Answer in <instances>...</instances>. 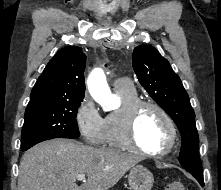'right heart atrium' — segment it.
Returning a JSON list of instances; mask_svg holds the SVG:
<instances>
[{
  "mask_svg": "<svg viewBox=\"0 0 221 190\" xmlns=\"http://www.w3.org/2000/svg\"><path fill=\"white\" fill-rule=\"evenodd\" d=\"M75 123L86 143L101 146L105 142V120L94 102L85 96L75 113Z\"/></svg>",
  "mask_w": 221,
  "mask_h": 190,
  "instance_id": "right-heart-atrium-1",
  "label": "right heart atrium"
}]
</instances>
